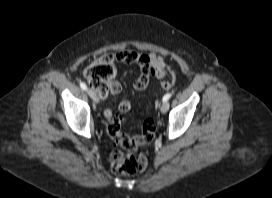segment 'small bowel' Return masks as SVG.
<instances>
[{"label":"small bowel","instance_id":"c3829d8e","mask_svg":"<svg viewBox=\"0 0 272 198\" xmlns=\"http://www.w3.org/2000/svg\"><path fill=\"white\" fill-rule=\"evenodd\" d=\"M118 55L121 57V60H120L121 62L137 64L140 68L143 69L144 73L148 72L149 69H152V73L149 75V77L162 78L165 76L166 62L164 59L160 57H157L152 54L137 53L134 51H127V50L119 51ZM134 86H135V82H134ZM135 88L137 87L135 86ZM120 91H121L120 83L118 81H113L111 94L116 95L120 93ZM100 96H106V95H100ZM130 108H131V103L128 100H123L119 103V110L122 112H127L130 110ZM104 116L108 119L112 118L113 116L112 110L105 109Z\"/></svg>","mask_w":272,"mask_h":198}]
</instances>
